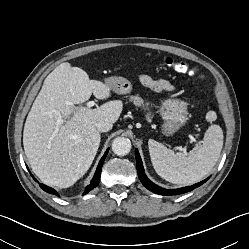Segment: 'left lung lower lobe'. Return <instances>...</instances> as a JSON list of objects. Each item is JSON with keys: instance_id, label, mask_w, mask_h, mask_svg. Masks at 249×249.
Wrapping results in <instances>:
<instances>
[{"instance_id": "left-lung-lower-lobe-1", "label": "left lung lower lobe", "mask_w": 249, "mask_h": 249, "mask_svg": "<svg viewBox=\"0 0 249 249\" xmlns=\"http://www.w3.org/2000/svg\"><path fill=\"white\" fill-rule=\"evenodd\" d=\"M135 156H136V164H137V173H138V177H139L140 181L147 189H149L150 191H152L156 194L174 195V194L186 193L188 191L193 190L196 187H199L200 185H202L203 183H205L209 179V178H207L204 181H201V182L194 184L192 186L183 187V188L175 189V190H167V189H164V188H161V187L155 185L153 182H151L147 178V176L145 175V172H144L143 165H142V160L140 158V155H139V152L137 149L135 151Z\"/></svg>"}]
</instances>
